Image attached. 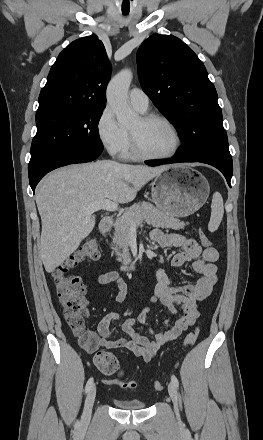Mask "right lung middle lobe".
<instances>
[{"mask_svg":"<svg viewBox=\"0 0 263 440\" xmlns=\"http://www.w3.org/2000/svg\"><path fill=\"white\" fill-rule=\"evenodd\" d=\"M103 109L79 107L37 110V133L31 146L29 175L61 153L77 159L78 150L101 145L97 126Z\"/></svg>","mask_w":263,"mask_h":440,"instance_id":"obj_1","label":"right lung middle lobe"}]
</instances>
